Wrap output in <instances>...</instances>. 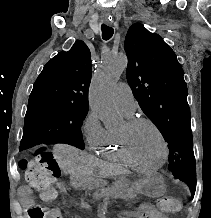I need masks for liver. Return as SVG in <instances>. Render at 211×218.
<instances>
[{"label":"liver","mask_w":211,"mask_h":218,"mask_svg":"<svg viewBox=\"0 0 211 218\" xmlns=\"http://www.w3.org/2000/svg\"><path fill=\"white\" fill-rule=\"evenodd\" d=\"M54 152L56 154L57 162L62 168L66 170L73 178H79V176H90L94 166H97L98 160L91 156V154H86V152H80L77 148H72V146H64V144H59V146H54ZM108 174H116L120 172L118 168H106Z\"/></svg>","instance_id":"obj_1"}]
</instances>
